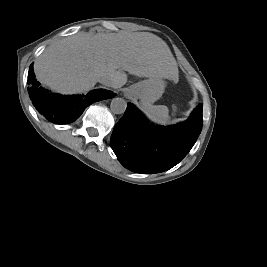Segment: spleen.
Instances as JSON below:
<instances>
[{"instance_id": "3e777b00", "label": "spleen", "mask_w": 267, "mask_h": 267, "mask_svg": "<svg viewBox=\"0 0 267 267\" xmlns=\"http://www.w3.org/2000/svg\"><path fill=\"white\" fill-rule=\"evenodd\" d=\"M141 110L152 122L159 125H166L170 121L169 110L165 105H152L142 102Z\"/></svg>"}]
</instances>
